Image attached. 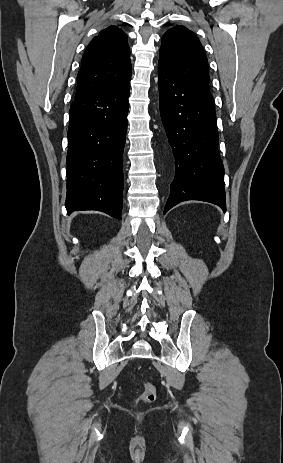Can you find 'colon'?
Segmentation results:
<instances>
[{"mask_svg": "<svg viewBox=\"0 0 283 463\" xmlns=\"http://www.w3.org/2000/svg\"><path fill=\"white\" fill-rule=\"evenodd\" d=\"M157 391L153 384L146 382L143 384V390L138 401L142 403H151L156 399Z\"/></svg>", "mask_w": 283, "mask_h": 463, "instance_id": "colon-1", "label": "colon"}]
</instances>
